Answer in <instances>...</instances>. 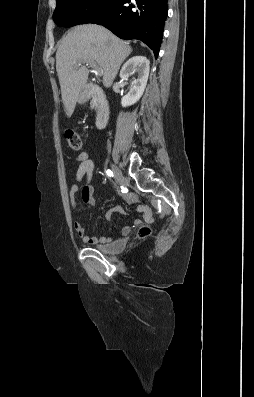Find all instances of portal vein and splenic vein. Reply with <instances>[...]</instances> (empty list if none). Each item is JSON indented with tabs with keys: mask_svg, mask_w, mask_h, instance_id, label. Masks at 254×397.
Returning <instances> with one entry per match:
<instances>
[{
	"mask_svg": "<svg viewBox=\"0 0 254 397\" xmlns=\"http://www.w3.org/2000/svg\"><path fill=\"white\" fill-rule=\"evenodd\" d=\"M83 63H85L86 65H90V67L94 69V73L96 76H101L103 74V70L100 67H98L94 61H86ZM81 65H82L81 63H78L76 67H80Z\"/></svg>",
	"mask_w": 254,
	"mask_h": 397,
	"instance_id": "portal-vein-and-splenic-vein-1",
	"label": "portal vein and splenic vein"
}]
</instances>
